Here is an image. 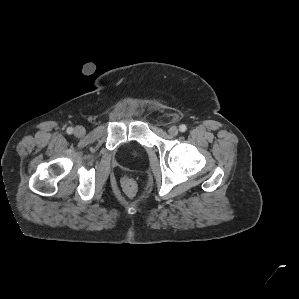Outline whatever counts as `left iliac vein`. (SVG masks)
Wrapping results in <instances>:
<instances>
[{
  "label": "left iliac vein",
  "instance_id": "4c4485c4",
  "mask_svg": "<svg viewBox=\"0 0 299 299\" xmlns=\"http://www.w3.org/2000/svg\"><path fill=\"white\" fill-rule=\"evenodd\" d=\"M168 132H169V134H170L171 136H176V135L178 134V132H179V129H178L177 126H171V127L169 128Z\"/></svg>",
  "mask_w": 299,
  "mask_h": 299
}]
</instances>
